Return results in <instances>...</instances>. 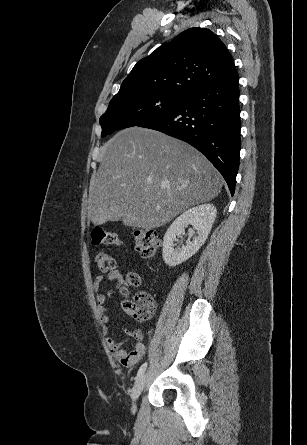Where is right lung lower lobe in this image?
Here are the masks:
<instances>
[{"label":"right lung lower lobe","mask_w":307,"mask_h":445,"mask_svg":"<svg viewBox=\"0 0 307 445\" xmlns=\"http://www.w3.org/2000/svg\"><path fill=\"white\" fill-rule=\"evenodd\" d=\"M181 139L203 153L234 195L240 153V108L236 69L184 97L172 110L138 125Z\"/></svg>","instance_id":"obj_1"}]
</instances>
